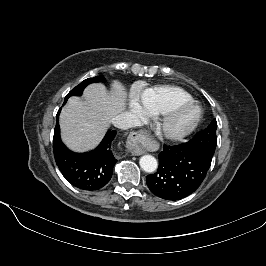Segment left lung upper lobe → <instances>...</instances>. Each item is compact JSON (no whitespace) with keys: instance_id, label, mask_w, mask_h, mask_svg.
Segmentation results:
<instances>
[{"instance_id":"obj_1","label":"left lung upper lobe","mask_w":266,"mask_h":266,"mask_svg":"<svg viewBox=\"0 0 266 266\" xmlns=\"http://www.w3.org/2000/svg\"><path fill=\"white\" fill-rule=\"evenodd\" d=\"M216 129L217 122L213 120L206 129L198 132L190 140V144L210 161L212 160L217 145Z\"/></svg>"}]
</instances>
